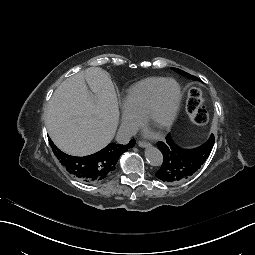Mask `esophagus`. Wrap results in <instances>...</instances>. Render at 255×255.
Instances as JSON below:
<instances>
[{
	"label": "esophagus",
	"mask_w": 255,
	"mask_h": 255,
	"mask_svg": "<svg viewBox=\"0 0 255 255\" xmlns=\"http://www.w3.org/2000/svg\"><path fill=\"white\" fill-rule=\"evenodd\" d=\"M138 145L143 148L151 146L150 143L145 141H138Z\"/></svg>",
	"instance_id": "esophagus-1"
}]
</instances>
